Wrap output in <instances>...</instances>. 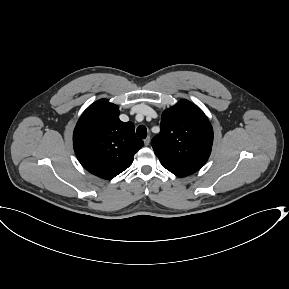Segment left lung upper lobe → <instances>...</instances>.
Instances as JSON below:
<instances>
[{"instance_id": "1", "label": "left lung upper lobe", "mask_w": 289, "mask_h": 289, "mask_svg": "<svg viewBox=\"0 0 289 289\" xmlns=\"http://www.w3.org/2000/svg\"><path fill=\"white\" fill-rule=\"evenodd\" d=\"M213 129L203 111L188 100L165 110L161 132L151 145L161 164L178 177L198 171L208 160Z\"/></svg>"}]
</instances>
